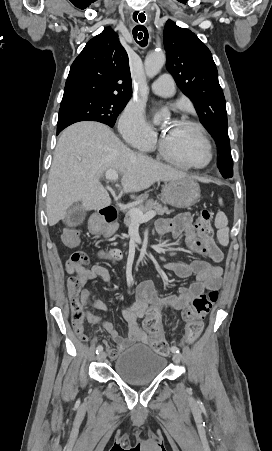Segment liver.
I'll use <instances>...</instances> for the list:
<instances>
[{
    "mask_svg": "<svg viewBox=\"0 0 272 451\" xmlns=\"http://www.w3.org/2000/svg\"><path fill=\"white\" fill-rule=\"evenodd\" d=\"M106 170L123 174L125 194L147 190L154 182L187 178L172 166L132 152L108 126L78 122L62 132L55 148L46 198L49 226L66 218L75 202H81V210L110 206L111 198L100 182ZM189 178L203 182L198 176Z\"/></svg>",
    "mask_w": 272,
    "mask_h": 451,
    "instance_id": "6515ba94",
    "label": "liver"
}]
</instances>
